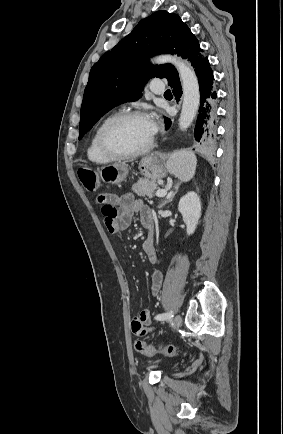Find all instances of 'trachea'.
I'll list each match as a JSON object with an SVG mask.
<instances>
[{
	"instance_id": "trachea-1",
	"label": "trachea",
	"mask_w": 283,
	"mask_h": 434,
	"mask_svg": "<svg viewBox=\"0 0 283 434\" xmlns=\"http://www.w3.org/2000/svg\"><path fill=\"white\" fill-rule=\"evenodd\" d=\"M164 94H165V95L171 94V91H170V90H167Z\"/></svg>"
}]
</instances>
